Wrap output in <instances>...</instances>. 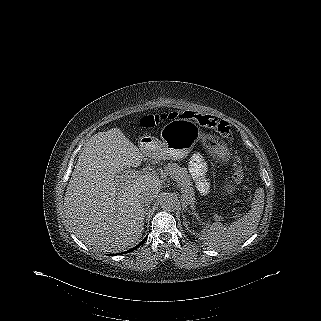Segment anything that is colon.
Segmentation results:
<instances>
[{
    "instance_id": "colon-1",
    "label": "colon",
    "mask_w": 321,
    "mask_h": 321,
    "mask_svg": "<svg viewBox=\"0 0 321 321\" xmlns=\"http://www.w3.org/2000/svg\"><path fill=\"white\" fill-rule=\"evenodd\" d=\"M168 118L169 119L170 118L193 119L199 125L216 131L223 138L227 140H231L233 137V131L228 122L219 120L210 115L200 114L192 111H177L164 116H148L144 118L143 124L145 126H153L155 125V123H159L162 119H168ZM242 165H243L242 158L239 155L235 154L233 156V166H234L233 182L235 184L240 183L243 178Z\"/></svg>"
}]
</instances>
